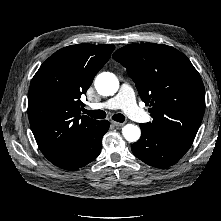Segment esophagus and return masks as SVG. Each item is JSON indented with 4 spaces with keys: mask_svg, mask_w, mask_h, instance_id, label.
I'll return each mask as SVG.
<instances>
[{
    "mask_svg": "<svg viewBox=\"0 0 221 221\" xmlns=\"http://www.w3.org/2000/svg\"><path fill=\"white\" fill-rule=\"evenodd\" d=\"M111 123L114 125V126H116V127H121V126H123L125 123H120V122H116V121H111Z\"/></svg>",
    "mask_w": 221,
    "mask_h": 221,
    "instance_id": "esophagus-1",
    "label": "esophagus"
}]
</instances>
